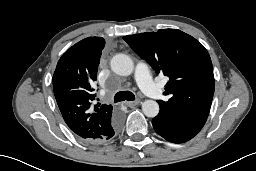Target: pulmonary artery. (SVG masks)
<instances>
[{
	"label": "pulmonary artery",
	"mask_w": 256,
	"mask_h": 171,
	"mask_svg": "<svg viewBox=\"0 0 256 171\" xmlns=\"http://www.w3.org/2000/svg\"><path fill=\"white\" fill-rule=\"evenodd\" d=\"M135 79L144 93L154 100H159L162 92L153 82L147 64L139 62L135 68Z\"/></svg>",
	"instance_id": "pulmonary-artery-1"
}]
</instances>
